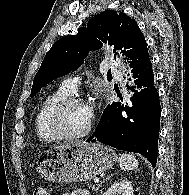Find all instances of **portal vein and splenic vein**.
<instances>
[{
    "label": "portal vein and splenic vein",
    "mask_w": 189,
    "mask_h": 195,
    "mask_svg": "<svg viewBox=\"0 0 189 195\" xmlns=\"http://www.w3.org/2000/svg\"><path fill=\"white\" fill-rule=\"evenodd\" d=\"M99 182V179H94V183H98Z\"/></svg>",
    "instance_id": "18ae733b"
}]
</instances>
